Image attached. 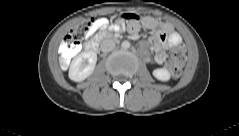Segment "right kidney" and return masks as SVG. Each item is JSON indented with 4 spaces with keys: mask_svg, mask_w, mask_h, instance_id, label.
Returning a JSON list of instances; mask_svg holds the SVG:
<instances>
[{
    "mask_svg": "<svg viewBox=\"0 0 239 136\" xmlns=\"http://www.w3.org/2000/svg\"><path fill=\"white\" fill-rule=\"evenodd\" d=\"M97 62V54L93 51L82 52L71 62L69 78L75 82L85 80L90 76Z\"/></svg>",
    "mask_w": 239,
    "mask_h": 136,
    "instance_id": "right-kidney-1",
    "label": "right kidney"
}]
</instances>
